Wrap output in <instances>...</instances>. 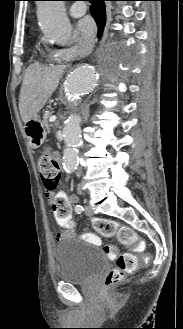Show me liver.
<instances>
[{"label": "liver", "mask_w": 183, "mask_h": 329, "mask_svg": "<svg viewBox=\"0 0 183 329\" xmlns=\"http://www.w3.org/2000/svg\"><path fill=\"white\" fill-rule=\"evenodd\" d=\"M64 66L49 67L34 63L25 73L20 89L19 110L26 123L42 109L59 84Z\"/></svg>", "instance_id": "1"}]
</instances>
